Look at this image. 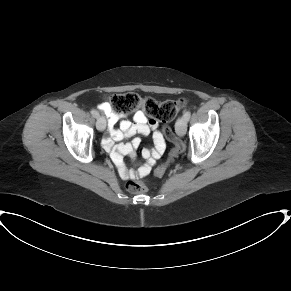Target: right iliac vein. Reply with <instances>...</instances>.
I'll list each match as a JSON object with an SVG mask.
<instances>
[{"label":"right iliac vein","mask_w":291,"mask_h":291,"mask_svg":"<svg viewBox=\"0 0 291 291\" xmlns=\"http://www.w3.org/2000/svg\"><path fill=\"white\" fill-rule=\"evenodd\" d=\"M96 127L100 131H104V129L106 128V120L103 116L98 117Z\"/></svg>","instance_id":"obj_1"}]
</instances>
